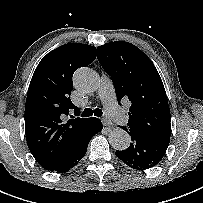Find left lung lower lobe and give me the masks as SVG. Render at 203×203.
<instances>
[{
	"instance_id": "1",
	"label": "left lung lower lobe",
	"mask_w": 203,
	"mask_h": 203,
	"mask_svg": "<svg viewBox=\"0 0 203 203\" xmlns=\"http://www.w3.org/2000/svg\"><path fill=\"white\" fill-rule=\"evenodd\" d=\"M124 129L130 134L132 143L126 150L116 151L119 159L136 170L154 167L162 160L169 143L139 131Z\"/></svg>"
}]
</instances>
